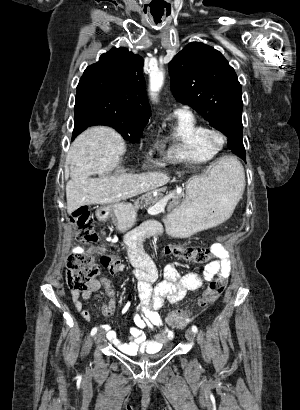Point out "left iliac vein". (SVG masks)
Returning a JSON list of instances; mask_svg holds the SVG:
<instances>
[{
    "label": "left iliac vein",
    "instance_id": "obj_1",
    "mask_svg": "<svg viewBox=\"0 0 300 410\" xmlns=\"http://www.w3.org/2000/svg\"><path fill=\"white\" fill-rule=\"evenodd\" d=\"M185 335H186V338H187L188 341H190V342H193V341H194L195 334H194V332H193L191 329H187Z\"/></svg>",
    "mask_w": 300,
    "mask_h": 410
}]
</instances>
